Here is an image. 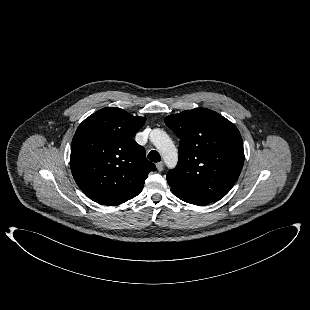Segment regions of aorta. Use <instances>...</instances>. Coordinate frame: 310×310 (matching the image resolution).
Listing matches in <instances>:
<instances>
[{
	"mask_svg": "<svg viewBox=\"0 0 310 310\" xmlns=\"http://www.w3.org/2000/svg\"><path fill=\"white\" fill-rule=\"evenodd\" d=\"M150 139L162 155L166 165L170 168L175 167L178 152L169 135L161 129H154L150 133Z\"/></svg>",
	"mask_w": 310,
	"mask_h": 310,
	"instance_id": "aorta-1",
	"label": "aorta"
}]
</instances>
